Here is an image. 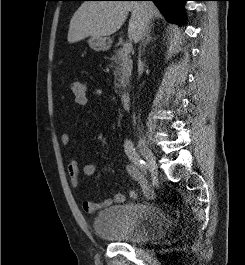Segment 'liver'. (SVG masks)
Wrapping results in <instances>:
<instances>
[{
  "label": "liver",
  "instance_id": "6515ba94",
  "mask_svg": "<svg viewBox=\"0 0 245 265\" xmlns=\"http://www.w3.org/2000/svg\"><path fill=\"white\" fill-rule=\"evenodd\" d=\"M146 9L152 18H160L156 6L148 2ZM145 6L140 2L129 1H85L71 18L68 42L75 43L89 36L106 38L118 31L131 12L128 26V37L137 43L139 41Z\"/></svg>",
  "mask_w": 245,
  "mask_h": 265
}]
</instances>
